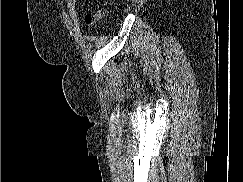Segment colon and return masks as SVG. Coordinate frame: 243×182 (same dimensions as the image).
Here are the masks:
<instances>
[{"label": "colon", "mask_w": 243, "mask_h": 182, "mask_svg": "<svg viewBox=\"0 0 243 182\" xmlns=\"http://www.w3.org/2000/svg\"><path fill=\"white\" fill-rule=\"evenodd\" d=\"M106 14L105 10H97L86 15L85 21L87 24L92 25L100 21Z\"/></svg>", "instance_id": "1"}]
</instances>
